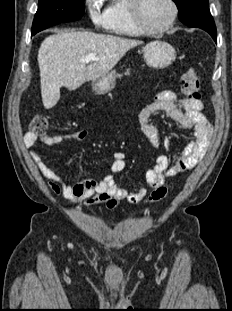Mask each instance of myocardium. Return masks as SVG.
<instances>
[{
  "label": "myocardium",
  "instance_id": "obj_1",
  "mask_svg": "<svg viewBox=\"0 0 232 311\" xmlns=\"http://www.w3.org/2000/svg\"><path fill=\"white\" fill-rule=\"evenodd\" d=\"M141 2L142 0H129L128 4L131 19L141 32L146 34H158L169 30L175 24L178 17V6L175 0H168L172 10L171 17L165 25L158 28H151L143 21L141 15Z\"/></svg>",
  "mask_w": 232,
  "mask_h": 311
}]
</instances>
